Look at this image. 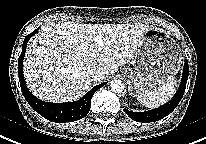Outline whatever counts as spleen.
<instances>
[{
  "label": "spleen",
  "instance_id": "spleen-1",
  "mask_svg": "<svg viewBox=\"0 0 206 144\" xmlns=\"http://www.w3.org/2000/svg\"><path fill=\"white\" fill-rule=\"evenodd\" d=\"M177 85V81L174 78H170L158 89L144 93L142 96L138 97V99L142 105L148 108L159 107L172 98Z\"/></svg>",
  "mask_w": 206,
  "mask_h": 144
}]
</instances>
